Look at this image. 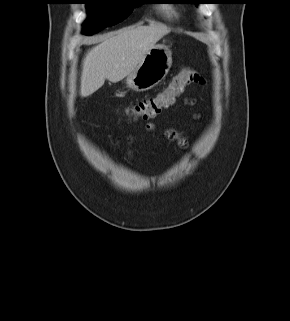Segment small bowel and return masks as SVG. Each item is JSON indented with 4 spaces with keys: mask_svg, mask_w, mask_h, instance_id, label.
<instances>
[{
    "mask_svg": "<svg viewBox=\"0 0 290 321\" xmlns=\"http://www.w3.org/2000/svg\"><path fill=\"white\" fill-rule=\"evenodd\" d=\"M146 128L149 130V131H153L155 129V125L153 123H147L146 125ZM166 136L173 140V141H176L179 145L181 146H185L186 144V140L184 139V137H182L178 132H176L175 130L173 129H168L166 131ZM131 142V138H129L127 140V144L129 145ZM128 154H131L130 150L128 149Z\"/></svg>",
    "mask_w": 290,
    "mask_h": 321,
    "instance_id": "obj_1",
    "label": "small bowel"
}]
</instances>
